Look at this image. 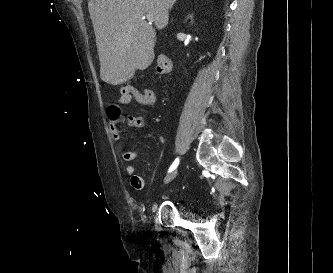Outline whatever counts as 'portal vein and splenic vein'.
Listing matches in <instances>:
<instances>
[{
	"label": "portal vein and splenic vein",
	"instance_id": "portal-vein-and-splenic-vein-1",
	"mask_svg": "<svg viewBox=\"0 0 333 273\" xmlns=\"http://www.w3.org/2000/svg\"><path fill=\"white\" fill-rule=\"evenodd\" d=\"M147 19L149 22H152V18L150 17V16H146V17H144L143 19Z\"/></svg>",
	"mask_w": 333,
	"mask_h": 273
}]
</instances>
